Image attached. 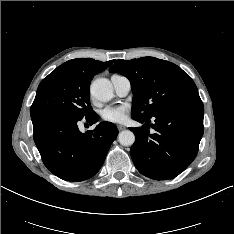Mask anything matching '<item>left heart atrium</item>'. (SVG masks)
<instances>
[{"mask_svg":"<svg viewBox=\"0 0 234 234\" xmlns=\"http://www.w3.org/2000/svg\"><path fill=\"white\" fill-rule=\"evenodd\" d=\"M104 121L111 123H124L128 117V108L125 105L107 106L101 111Z\"/></svg>","mask_w":234,"mask_h":234,"instance_id":"1","label":"left heart atrium"}]
</instances>
